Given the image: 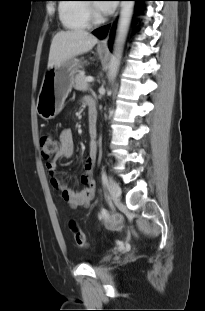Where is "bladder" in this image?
Masks as SVG:
<instances>
[{
	"label": "bladder",
	"mask_w": 205,
	"mask_h": 311,
	"mask_svg": "<svg viewBox=\"0 0 205 311\" xmlns=\"http://www.w3.org/2000/svg\"><path fill=\"white\" fill-rule=\"evenodd\" d=\"M110 259H111L110 256H105V257H103L100 261H101V262H107V261H109Z\"/></svg>",
	"instance_id": "obj_1"
}]
</instances>
